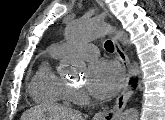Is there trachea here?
<instances>
[{
  "label": "trachea",
  "instance_id": "3493384b",
  "mask_svg": "<svg viewBox=\"0 0 165 120\" xmlns=\"http://www.w3.org/2000/svg\"><path fill=\"white\" fill-rule=\"evenodd\" d=\"M104 47L108 52L114 51V45H113L112 41H110V40L105 42Z\"/></svg>",
  "mask_w": 165,
  "mask_h": 120
}]
</instances>
